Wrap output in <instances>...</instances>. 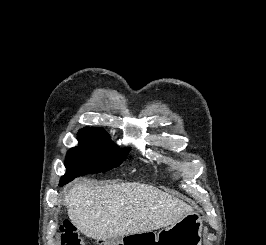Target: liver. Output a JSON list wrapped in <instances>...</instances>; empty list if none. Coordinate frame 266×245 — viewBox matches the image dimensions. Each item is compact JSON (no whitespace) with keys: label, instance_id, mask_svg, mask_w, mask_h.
I'll return each mask as SVG.
<instances>
[{"label":"liver","instance_id":"obj_1","mask_svg":"<svg viewBox=\"0 0 266 245\" xmlns=\"http://www.w3.org/2000/svg\"><path fill=\"white\" fill-rule=\"evenodd\" d=\"M65 201L71 223L97 241L162 229L193 213L184 201L143 183H76Z\"/></svg>","mask_w":266,"mask_h":245}]
</instances>
